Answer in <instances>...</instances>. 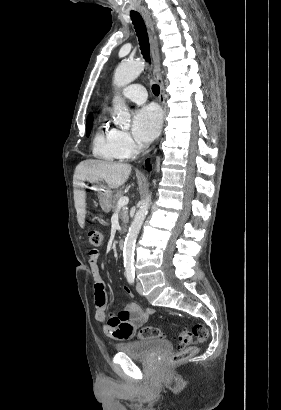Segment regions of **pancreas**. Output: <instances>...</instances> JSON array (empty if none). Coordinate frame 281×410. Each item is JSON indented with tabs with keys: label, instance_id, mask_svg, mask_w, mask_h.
<instances>
[{
	"label": "pancreas",
	"instance_id": "pancreas-1",
	"mask_svg": "<svg viewBox=\"0 0 281 410\" xmlns=\"http://www.w3.org/2000/svg\"><path fill=\"white\" fill-rule=\"evenodd\" d=\"M123 197V192L121 190H117L116 193L113 195L112 200V209L115 211L117 209L118 200ZM120 219L122 221V226L126 227L127 223L129 222V215L126 208H121L119 212Z\"/></svg>",
	"mask_w": 281,
	"mask_h": 410
}]
</instances>
